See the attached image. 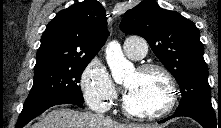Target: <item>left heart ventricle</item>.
Returning a JSON list of instances; mask_svg holds the SVG:
<instances>
[{
    "label": "left heart ventricle",
    "instance_id": "left-heart-ventricle-1",
    "mask_svg": "<svg viewBox=\"0 0 221 128\" xmlns=\"http://www.w3.org/2000/svg\"><path fill=\"white\" fill-rule=\"evenodd\" d=\"M124 85L126 102L133 111L156 109L166 99V83L158 72L135 71L125 79Z\"/></svg>",
    "mask_w": 221,
    "mask_h": 128
}]
</instances>
